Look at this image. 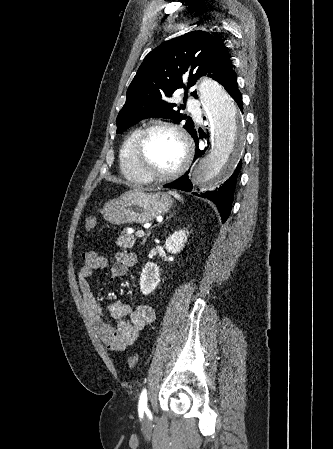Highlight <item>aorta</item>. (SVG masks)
<instances>
[{"mask_svg":"<svg viewBox=\"0 0 333 449\" xmlns=\"http://www.w3.org/2000/svg\"><path fill=\"white\" fill-rule=\"evenodd\" d=\"M199 94L212 123V148L197 160L191 181L197 188L213 189L233 167L241 150V117L233 98L217 82L202 81Z\"/></svg>","mask_w":333,"mask_h":449,"instance_id":"aorta-1","label":"aorta"}]
</instances>
